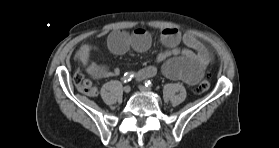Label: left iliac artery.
I'll return each instance as SVG.
<instances>
[{
    "instance_id": "44dca946",
    "label": "left iliac artery",
    "mask_w": 279,
    "mask_h": 148,
    "mask_svg": "<svg viewBox=\"0 0 279 148\" xmlns=\"http://www.w3.org/2000/svg\"><path fill=\"white\" fill-rule=\"evenodd\" d=\"M152 83L150 80L145 81V86L146 87H151Z\"/></svg>"
}]
</instances>
